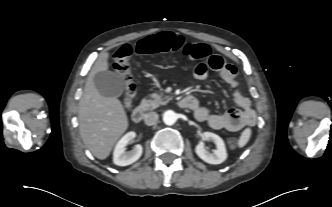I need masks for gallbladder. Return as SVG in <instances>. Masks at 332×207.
Returning <instances> with one entry per match:
<instances>
[{
	"instance_id": "1",
	"label": "gallbladder",
	"mask_w": 332,
	"mask_h": 207,
	"mask_svg": "<svg viewBox=\"0 0 332 207\" xmlns=\"http://www.w3.org/2000/svg\"><path fill=\"white\" fill-rule=\"evenodd\" d=\"M93 82L98 92L105 97H119L124 91L121 78L108 70L96 73Z\"/></svg>"
}]
</instances>
